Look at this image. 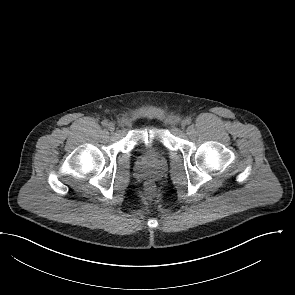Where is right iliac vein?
Segmentation results:
<instances>
[{
	"label": "right iliac vein",
	"instance_id": "63e3f726",
	"mask_svg": "<svg viewBox=\"0 0 295 295\" xmlns=\"http://www.w3.org/2000/svg\"><path fill=\"white\" fill-rule=\"evenodd\" d=\"M107 128L109 131L115 130V124L113 122L108 123Z\"/></svg>",
	"mask_w": 295,
	"mask_h": 295
}]
</instances>
